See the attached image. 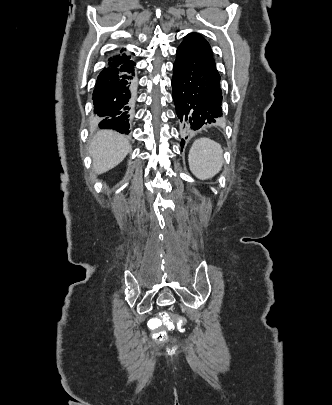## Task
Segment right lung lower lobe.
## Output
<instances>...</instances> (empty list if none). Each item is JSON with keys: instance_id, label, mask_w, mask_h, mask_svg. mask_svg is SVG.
I'll return each mask as SVG.
<instances>
[{"instance_id": "98d812e1", "label": "right lung lower lobe", "mask_w": 332, "mask_h": 405, "mask_svg": "<svg viewBox=\"0 0 332 405\" xmlns=\"http://www.w3.org/2000/svg\"><path fill=\"white\" fill-rule=\"evenodd\" d=\"M134 65L126 61L100 72L93 92L94 113L103 117L100 128L130 132L137 89Z\"/></svg>"}]
</instances>
